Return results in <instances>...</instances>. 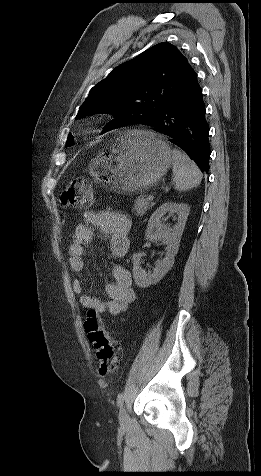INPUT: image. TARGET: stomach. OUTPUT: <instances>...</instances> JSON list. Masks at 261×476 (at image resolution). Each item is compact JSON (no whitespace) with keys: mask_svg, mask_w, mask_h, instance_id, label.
Returning <instances> with one entry per match:
<instances>
[{"mask_svg":"<svg viewBox=\"0 0 261 476\" xmlns=\"http://www.w3.org/2000/svg\"><path fill=\"white\" fill-rule=\"evenodd\" d=\"M173 162L171 150L149 131L120 134L93 158L88 170L114 190L132 193L155 185Z\"/></svg>","mask_w":261,"mask_h":476,"instance_id":"obj_1","label":"stomach"}]
</instances>
